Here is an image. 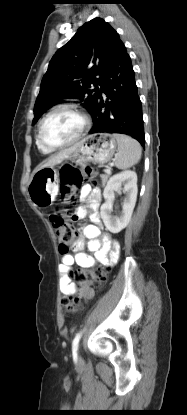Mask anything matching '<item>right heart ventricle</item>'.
Masks as SVG:
<instances>
[{
    "instance_id": "right-heart-ventricle-1",
    "label": "right heart ventricle",
    "mask_w": 187,
    "mask_h": 415,
    "mask_svg": "<svg viewBox=\"0 0 187 415\" xmlns=\"http://www.w3.org/2000/svg\"><path fill=\"white\" fill-rule=\"evenodd\" d=\"M37 146H38L39 150L44 154H49V153L52 152L51 150H48V149L44 148L43 146H41L38 141H37Z\"/></svg>"
}]
</instances>
